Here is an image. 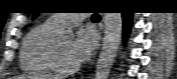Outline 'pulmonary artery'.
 <instances>
[{
    "mask_svg": "<svg viewBox=\"0 0 177 79\" xmlns=\"http://www.w3.org/2000/svg\"><path fill=\"white\" fill-rule=\"evenodd\" d=\"M86 17L87 14H53L47 22L57 29H62L67 25L82 22Z\"/></svg>",
    "mask_w": 177,
    "mask_h": 79,
    "instance_id": "obj_1",
    "label": "pulmonary artery"
}]
</instances>
